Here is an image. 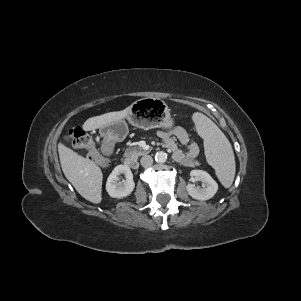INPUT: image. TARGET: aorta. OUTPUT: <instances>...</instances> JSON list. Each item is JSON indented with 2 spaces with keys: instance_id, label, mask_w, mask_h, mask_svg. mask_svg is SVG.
<instances>
[{
  "instance_id": "762f6f07",
  "label": "aorta",
  "mask_w": 301,
  "mask_h": 301,
  "mask_svg": "<svg viewBox=\"0 0 301 301\" xmlns=\"http://www.w3.org/2000/svg\"><path fill=\"white\" fill-rule=\"evenodd\" d=\"M167 160V154L162 152V151H159L156 153L155 155V161L158 162V163H164L166 162Z\"/></svg>"
}]
</instances>
